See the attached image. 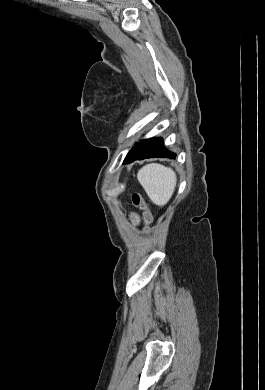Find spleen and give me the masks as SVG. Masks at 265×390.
<instances>
[{"label": "spleen", "mask_w": 265, "mask_h": 390, "mask_svg": "<svg viewBox=\"0 0 265 390\" xmlns=\"http://www.w3.org/2000/svg\"><path fill=\"white\" fill-rule=\"evenodd\" d=\"M137 179L151 201L158 206L167 204L177 183L175 172L158 163L143 166L137 174Z\"/></svg>", "instance_id": "3e777b00"}]
</instances>
